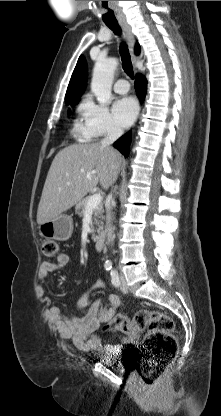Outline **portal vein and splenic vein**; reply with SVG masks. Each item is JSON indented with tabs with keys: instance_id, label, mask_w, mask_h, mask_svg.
Here are the masks:
<instances>
[{
	"instance_id": "portal-vein-and-splenic-vein-1",
	"label": "portal vein and splenic vein",
	"mask_w": 221,
	"mask_h": 416,
	"mask_svg": "<svg viewBox=\"0 0 221 416\" xmlns=\"http://www.w3.org/2000/svg\"><path fill=\"white\" fill-rule=\"evenodd\" d=\"M101 201H102V196L100 195V193H96L92 195L86 204V212H89L95 209L101 203Z\"/></svg>"
}]
</instances>
